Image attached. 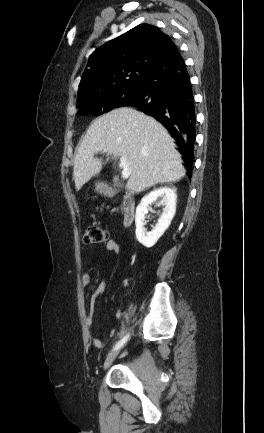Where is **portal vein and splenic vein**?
I'll use <instances>...</instances> for the list:
<instances>
[{"instance_id":"18ae733b","label":"portal vein and splenic vein","mask_w":264,"mask_h":433,"mask_svg":"<svg viewBox=\"0 0 264 433\" xmlns=\"http://www.w3.org/2000/svg\"><path fill=\"white\" fill-rule=\"evenodd\" d=\"M119 166L120 168H122V178L127 179L131 174V169L129 167L128 160L126 157L120 158Z\"/></svg>"}]
</instances>
